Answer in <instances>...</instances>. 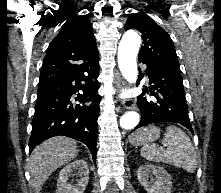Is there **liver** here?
<instances>
[{"label": "liver", "instance_id": "1", "mask_svg": "<svg viewBox=\"0 0 221 193\" xmlns=\"http://www.w3.org/2000/svg\"><path fill=\"white\" fill-rule=\"evenodd\" d=\"M79 150L76 141L65 137H52L38 145L30 155L28 170L34 193H39L50 174L73 160Z\"/></svg>", "mask_w": 221, "mask_h": 193}]
</instances>
